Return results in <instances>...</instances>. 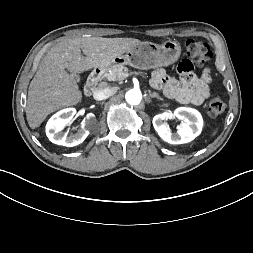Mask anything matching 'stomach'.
Here are the masks:
<instances>
[{"label":"stomach","instance_id":"stomach-1","mask_svg":"<svg viewBox=\"0 0 253 253\" xmlns=\"http://www.w3.org/2000/svg\"><path fill=\"white\" fill-rule=\"evenodd\" d=\"M181 46L173 40L162 44L141 42L129 49L125 55L114 59L112 65H130L134 68L146 70L160 66H168L178 60Z\"/></svg>","mask_w":253,"mask_h":253}]
</instances>
